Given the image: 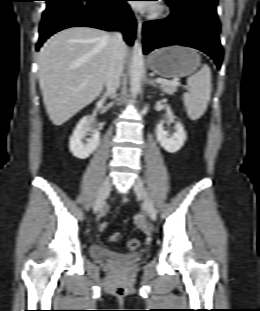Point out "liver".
Instances as JSON below:
<instances>
[{
	"label": "liver",
	"instance_id": "liver-1",
	"mask_svg": "<svg viewBox=\"0 0 260 311\" xmlns=\"http://www.w3.org/2000/svg\"><path fill=\"white\" fill-rule=\"evenodd\" d=\"M111 44L105 31L72 27L52 36L41 48L39 85L54 125L64 124L100 95Z\"/></svg>",
	"mask_w": 260,
	"mask_h": 311
}]
</instances>
